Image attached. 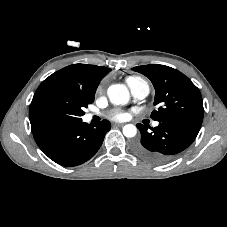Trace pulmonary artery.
Instances as JSON below:
<instances>
[{
	"mask_svg": "<svg viewBox=\"0 0 227 227\" xmlns=\"http://www.w3.org/2000/svg\"><path fill=\"white\" fill-rule=\"evenodd\" d=\"M132 96L135 99L142 100L149 94V86L143 80L134 81L128 84ZM93 114H87L86 118L91 119ZM155 126L158 125V122L154 123Z\"/></svg>",
	"mask_w": 227,
	"mask_h": 227,
	"instance_id": "e3ab8cb5",
	"label": "pulmonary artery"
}]
</instances>
